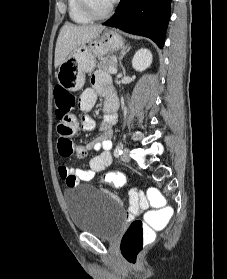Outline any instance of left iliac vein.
I'll return each mask as SVG.
<instances>
[{
    "mask_svg": "<svg viewBox=\"0 0 227 279\" xmlns=\"http://www.w3.org/2000/svg\"><path fill=\"white\" fill-rule=\"evenodd\" d=\"M121 160L123 162H130V150L128 148H125L122 152V155H121Z\"/></svg>",
    "mask_w": 227,
    "mask_h": 279,
    "instance_id": "1",
    "label": "left iliac vein"
}]
</instances>
